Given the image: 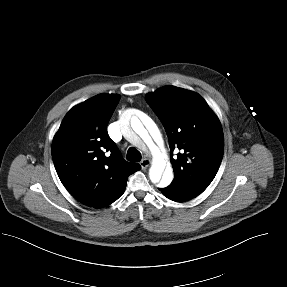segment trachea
Instances as JSON below:
<instances>
[{
  "label": "trachea",
  "instance_id": "3493384b",
  "mask_svg": "<svg viewBox=\"0 0 287 287\" xmlns=\"http://www.w3.org/2000/svg\"><path fill=\"white\" fill-rule=\"evenodd\" d=\"M127 160L131 162H139L142 158L140 151L134 147H130L127 151Z\"/></svg>",
  "mask_w": 287,
  "mask_h": 287
}]
</instances>
